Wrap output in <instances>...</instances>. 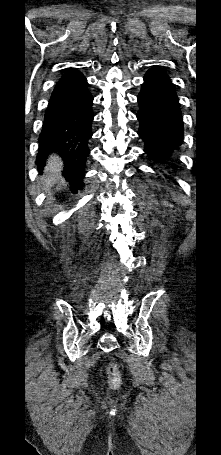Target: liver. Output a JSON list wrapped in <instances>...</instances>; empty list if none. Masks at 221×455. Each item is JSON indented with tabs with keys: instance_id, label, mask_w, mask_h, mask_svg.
<instances>
[{
	"instance_id": "1",
	"label": "liver",
	"mask_w": 221,
	"mask_h": 455,
	"mask_svg": "<svg viewBox=\"0 0 221 455\" xmlns=\"http://www.w3.org/2000/svg\"><path fill=\"white\" fill-rule=\"evenodd\" d=\"M62 169V162L57 155H50L44 170L42 184L45 188H51L55 184L62 182L60 171Z\"/></svg>"
}]
</instances>
